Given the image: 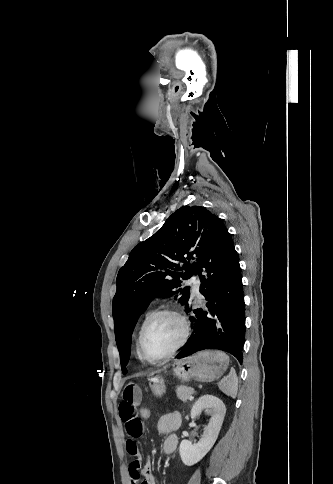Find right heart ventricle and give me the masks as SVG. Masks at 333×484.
<instances>
[{
	"instance_id": "1",
	"label": "right heart ventricle",
	"mask_w": 333,
	"mask_h": 484,
	"mask_svg": "<svg viewBox=\"0 0 333 484\" xmlns=\"http://www.w3.org/2000/svg\"><path fill=\"white\" fill-rule=\"evenodd\" d=\"M152 313H154V311L152 309H149L148 311L145 312V314L143 315L140 323H139V326L137 328V332H136V339H135V350H136V355L142 359V357L140 356V353H139V350H138V342H139V336H140V332H141V329L144 325V323L147 321V319L152 315Z\"/></svg>"
}]
</instances>
